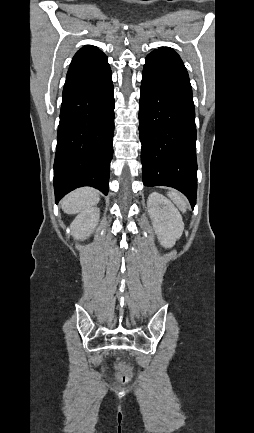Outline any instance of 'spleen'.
I'll return each mask as SVG.
<instances>
[{"label": "spleen", "mask_w": 254, "mask_h": 433, "mask_svg": "<svg viewBox=\"0 0 254 433\" xmlns=\"http://www.w3.org/2000/svg\"><path fill=\"white\" fill-rule=\"evenodd\" d=\"M167 195L182 212H186L187 202L181 194L176 191H170Z\"/></svg>", "instance_id": "spleen-1"}]
</instances>
